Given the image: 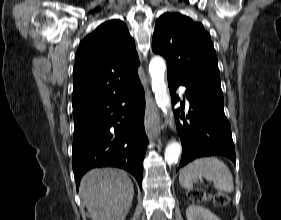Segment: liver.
Returning <instances> with one entry per match:
<instances>
[{"label":"liver","instance_id":"6515ba94","mask_svg":"<svg viewBox=\"0 0 281 220\" xmlns=\"http://www.w3.org/2000/svg\"><path fill=\"white\" fill-rule=\"evenodd\" d=\"M79 194L92 220H124L132 204L134 187L124 171L96 168L83 176Z\"/></svg>","mask_w":281,"mask_h":220}]
</instances>
